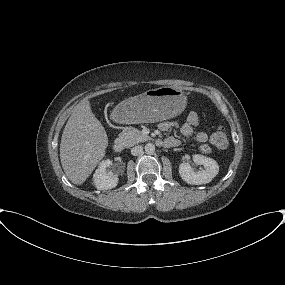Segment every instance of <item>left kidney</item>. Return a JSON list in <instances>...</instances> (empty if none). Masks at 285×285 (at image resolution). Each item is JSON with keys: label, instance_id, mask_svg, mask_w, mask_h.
Listing matches in <instances>:
<instances>
[{"label": "left kidney", "instance_id": "1", "mask_svg": "<svg viewBox=\"0 0 285 285\" xmlns=\"http://www.w3.org/2000/svg\"><path fill=\"white\" fill-rule=\"evenodd\" d=\"M193 160L196 164L203 165L204 169L194 171L189 163H181L179 174L186 183L192 185L207 184L218 174L219 166L214 159L196 154L193 156Z\"/></svg>", "mask_w": 285, "mask_h": 285}]
</instances>
